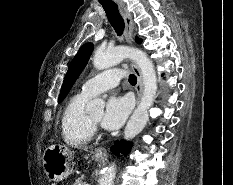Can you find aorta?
Here are the masks:
<instances>
[{
	"label": "aorta",
	"mask_w": 233,
	"mask_h": 185,
	"mask_svg": "<svg viewBox=\"0 0 233 185\" xmlns=\"http://www.w3.org/2000/svg\"><path fill=\"white\" fill-rule=\"evenodd\" d=\"M126 58H130L138 65L143 80V95L141 101L124 130V139L130 140L138 135L146 126L149 120V109L153 105L157 92V77L153 62L145 52L127 46H118L110 50L96 51L93 58V65L98 70L112 67ZM105 102L102 99L90 101L86 106V112L94 113L102 111ZM116 176V165L112 163L103 173L99 185H113Z\"/></svg>",
	"instance_id": "aorta-1"
}]
</instances>
